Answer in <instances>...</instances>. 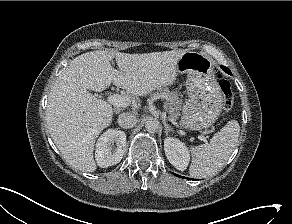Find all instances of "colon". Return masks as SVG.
Here are the masks:
<instances>
[{"instance_id":"5ec220e1","label":"colon","mask_w":292,"mask_h":224,"mask_svg":"<svg viewBox=\"0 0 292 224\" xmlns=\"http://www.w3.org/2000/svg\"><path fill=\"white\" fill-rule=\"evenodd\" d=\"M219 87L223 95V110L228 111L233 105V90L231 83L223 75H218Z\"/></svg>"}]
</instances>
